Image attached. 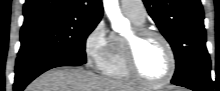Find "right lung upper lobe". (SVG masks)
Listing matches in <instances>:
<instances>
[{"label":"right lung upper lobe","instance_id":"1","mask_svg":"<svg viewBox=\"0 0 220 91\" xmlns=\"http://www.w3.org/2000/svg\"><path fill=\"white\" fill-rule=\"evenodd\" d=\"M24 24L57 16H74L101 20V0H26L23 8Z\"/></svg>","mask_w":220,"mask_h":91}]
</instances>
